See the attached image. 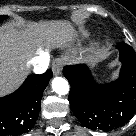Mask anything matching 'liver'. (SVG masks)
I'll return each instance as SVG.
<instances>
[{
	"label": "liver",
	"mask_w": 136,
	"mask_h": 136,
	"mask_svg": "<svg viewBox=\"0 0 136 136\" xmlns=\"http://www.w3.org/2000/svg\"><path fill=\"white\" fill-rule=\"evenodd\" d=\"M75 35L73 27L65 21L27 22L20 27L0 28V96L12 92L22 83L32 59L45 53V46L54 41L67 46ZM86 51L79 48L78 52H72L74 55L79 53L76 60L90 61L92 56L87 59L82 56Z\"/></svg>",
	"instance_id": "liver-1"
}]
</instances>
